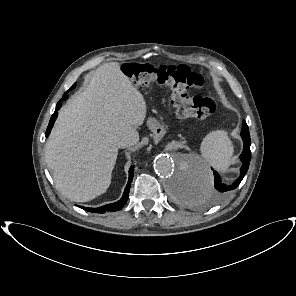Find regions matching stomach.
Listing matches in <instances>:
<instances>
[{
  "mask_svg": "<svg viewBox=\"0 0 296 296\" xmlns=\"http://www.w3.org/2000/svg\"><path fill=\"white\" fill-rule=\"evenodd\" d=\"M148 126L152 130L153 142L159 145L167 137V130L152 118L149 119Z\"/></svg>",
  "mask_w": 296,
  "mask_h": 296,
  "instance_id": "0dacf381",
  "label": "stomach"
}]
</instances>
